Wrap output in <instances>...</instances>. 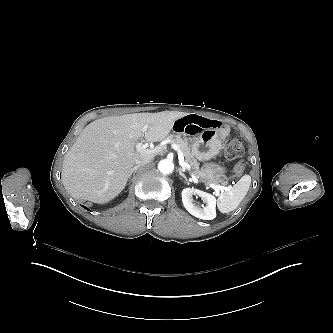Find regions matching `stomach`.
<instances>
[{"mask_svg": "<svg viewBox=\"0 0 333 333\" xmlns=\"http://www.w3.org/2000/svg\"><path fill=\"white\" fill-rule=\"evenodd\" d=\"M219 131V128L214 127L202 129L192 140V154L199 161L206 162L209 168L221 173V175H216V177L222 178L228 174V169L217 162L209 161L218 155L224 147Z\"/></svg>", "mask_w": 333, "mask_h": 333, "instance_id": "stomach-1", "label": "stomach"}]
</instances>
